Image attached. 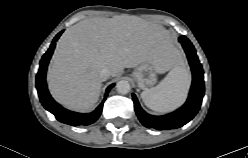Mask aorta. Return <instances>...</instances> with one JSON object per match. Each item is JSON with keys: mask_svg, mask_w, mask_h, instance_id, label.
Instances as JSON below:
<instances>
[{"mask_svg": "<svg viewBox=\"0 0 248 158\" xmlns=\"http://www.w3.org/2000/svg\"><path fill=\"white\" fill-rule=\"evenodd\" d=\"M116 89L120 94H127L130 91V84L126 80H121L116 84Z\"/></svg>", "mask_w": 248, "mask_h": 158, "instance_id": "1", "label": "aorta"}]
</instances>
